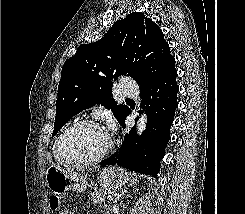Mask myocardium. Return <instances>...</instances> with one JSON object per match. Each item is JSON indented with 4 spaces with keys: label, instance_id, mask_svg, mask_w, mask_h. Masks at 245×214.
Returning a JSON list of instances; mask_svg holds the SVG:
<instances>
[{
    "label": "myocardium",
    "instance_id": "myocardium-1",
    "mask_svg": "<svg viewBox=\"0 0 245 214\" xmlns=\"http://www.w3.org/2000/svg\"><path fill=\"white\" fill-rule=\"evenodd\" d=\"M93 126L96 128H99L103 131H105L103 129V127L96 121L92 120V119H82L79 120L75 123H73L72 125H70L69 127H67L61 134L60 136L57 138L56 142H55V146H54V154L55 157L58 161H60L61 163L65 164V165H72V166H82V165H91V164H95L98 163L100 161H102L113 149V141L111 139V137L108 135V145L106 146V148L99 153L98 155L91 157V158H81V159H74V158H67L64 157L61 154V145L64 141V139L66 138V136L73 131L74 129L80 127V126Z\"/></svg>",
    "mask_w": 245,
    "mask_h": 214
}]
</instances>
